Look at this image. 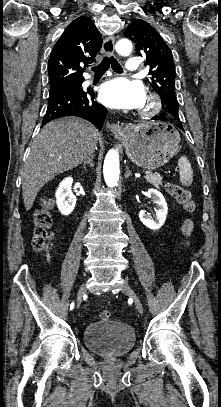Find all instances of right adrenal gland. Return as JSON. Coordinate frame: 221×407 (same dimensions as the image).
I'll list each match as a JSON object with an SVG mask.
<instances>
[{"label": "right adrenal gland", "mask_w": 221, "mask_h": 407, "mask_svg": "<svg viewBox=\"0 0 221 407\" xmlns=\"http://www.w3.org/2000/svg\"><path fill=\"white\" fill-rule=\"evenodd\" d=\"M94 156L95 155L92 154L91 157L88 160L84 161L83 165L85 166L86 164H89L91 167H93L94 166V162H93Z\"/></svg>", "instance_id": "obj_1"}]
</instances>
